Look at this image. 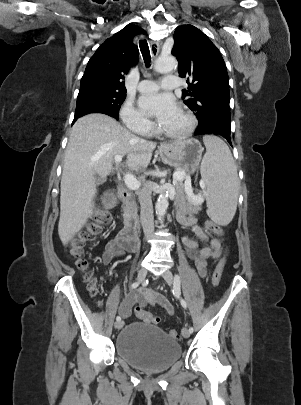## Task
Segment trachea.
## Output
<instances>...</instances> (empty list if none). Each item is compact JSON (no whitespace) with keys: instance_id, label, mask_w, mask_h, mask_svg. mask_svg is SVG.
Wrapping results in <instances>:
<instances>
[{"instance_id":"3493384b","label":"trachea","mask_w":301,"mask_h":405,"mask_svg":"<svg viewBox=\"0 0 301 405\" xmlns=\"http://www.w3.org/2000/svg\"><path fill=\"white\" fill-rule=\"evenodd\" d=\"M139 47H140V51L142 53L144 62L146 64L147 67H150V60H151V56H150V50H149V46L146 40H140L139 41Z\"/></svg>"}]
</instances>
